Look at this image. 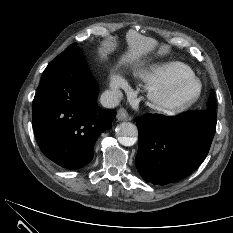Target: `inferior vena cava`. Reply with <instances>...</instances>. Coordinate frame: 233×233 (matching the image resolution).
Masks as SVG:
<instances>
[{
    "label": "inferior vena cava",
    "instance_id": "obj_1",
    "mask_svg": "<svg viewBox=\"0 0 233 233\" xmlns=\"http://www.w3.org/2000/svg\"><path fill=\"white\" fill-rule=\"evenodd\" d=\"M121 96L118 92L107 90L100 97L101 104L106 108H114L119 105Z\"/></svg>",
    "mask_w": 233,
    "mask_h": 233
}]
</instances>
